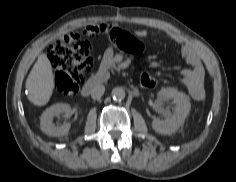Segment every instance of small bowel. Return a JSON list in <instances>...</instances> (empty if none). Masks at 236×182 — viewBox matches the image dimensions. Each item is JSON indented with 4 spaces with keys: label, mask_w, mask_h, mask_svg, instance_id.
<instances>
[{
    "label": "small bowel",
    "mask_w": 236,
    "mask_h": 182,
    "mask_svg": "<svg viewBox=\"0 0 236 182\" xmlns=\"http://www.w3.org/2000/svg\"><path fill=\"white\" fill-rule=\"evenodd\" d=\"M138 35L140 37H146L148 33L142 30L138 32ZM166 37L179 45L180 54L185 62L189 65V68L181 71L180 80L182 84L187 88L190 96L193 99H204L205 68L201 61L198 50L180 35L168 32L166 33Z\"/></svg>",
    "instance_id": "obj_1"
}]
</instances>
